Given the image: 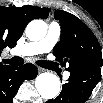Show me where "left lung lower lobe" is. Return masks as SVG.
Listing matches in <instances>:
<instances>
[{
  "instance_id": "0a47b994",
  "label": "left lung lower lobe",
  "mask_w": 103,
  "mask_h": 103,
  "mask_svg": "<svg viewBox=\"0 0 103 103\" xmlns=\"http://www.w3.org/2000/svg\"><path fill=\"white\" fill-rule=\"evenodd\" d=\"M69 72L60 95L47 103H84L101 78V67H81Z\"/></svg>"
}]
</instances>
